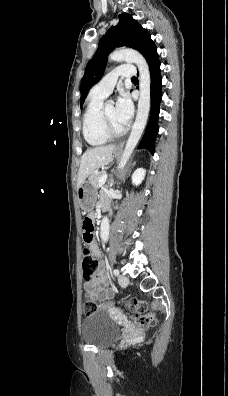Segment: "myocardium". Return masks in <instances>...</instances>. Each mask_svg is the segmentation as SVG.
I'll return each mask as SVG.
<instances>
[{"mask_svg": "<svg viewBox=\"0 0 228 396\" xmlns=\"http://www.w3.org/2000/svg\"><path fill=\"white\" fill-rule=\"evenodd\" d=\"M101 123L103 132L109 138H119L126 134L127 128L123 127L120 130H115L109 123L108 118L106 116L105 107L101 109Z\"/></svg>", "mask_w": 228, "mask_h": 396, "instance_id": "obj_1", "label": "myocardium"}]
</instances>
